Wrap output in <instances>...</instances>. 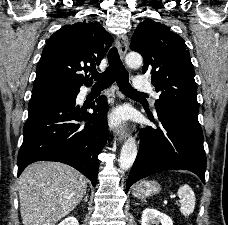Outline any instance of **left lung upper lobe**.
Here are the masks:
<instances>
[{
  "mask_svg": "<svg viewBox=\"0 0 228 225\" xmlns=\"http://www.w3.org/2000/svg\"><path fill=\"white\" fill-rule=\"evenodd\" d=\"M130 48L143 59L160 97L155 107L177 105L199 110L194 68L184 40L166 25L147 19L135 29Z\"/></svg>",
  "mask_w": 228,
  "mask_h": 225,
  "instance_id": "obj_1",
  "label": "left lung upper lobe"
}]
</instances>
